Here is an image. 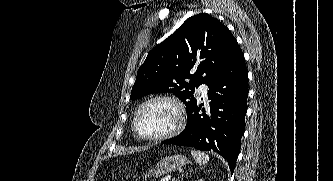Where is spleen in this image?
<instances>
[{
	"label": "spleen",
	"instance_id": "spleen-1",
	"mask_svg": "<svg viewBox=\"0 0 333 181\" xmlns=\"http://www.w3.org/2000/svg\"><path fill=\"white\" fill-rule=\"evenodd\" d=\"M191 153H192V156H193L195 162L198 163L199 165L207 164V162L210 159L209 156L207 154H205L204 152L192 150Z\"/></svg>",
	"mask_w": 333,
	"mask_h": 181
}]
</instances>
